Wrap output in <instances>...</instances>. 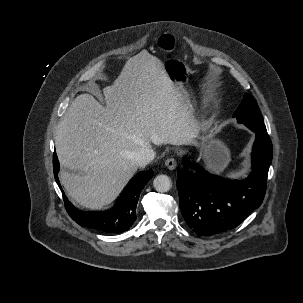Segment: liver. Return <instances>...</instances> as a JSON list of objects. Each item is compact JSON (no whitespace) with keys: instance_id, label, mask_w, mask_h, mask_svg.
Listing matches in <instances>:
<instances>
[{"instance_id":"obj_1","label":"liver","mask_w":303,"mask_h":303,"mask_svg":"<svg viewBox=\"0 0 303 303\" xmlns=\"http://www.w3.org/2000/svg\"><path fill=\"white\" fill-rule=\"evenodd\" d=\"M103 94L106 106L90 94L77 96L55 136L60 163L78 172L61 171L60 181L72 200L91 210L118 196L138 169L140 149L189 144L198 134L187 93L146 50L127 60Z\"/></svg>"}]
</instances>
